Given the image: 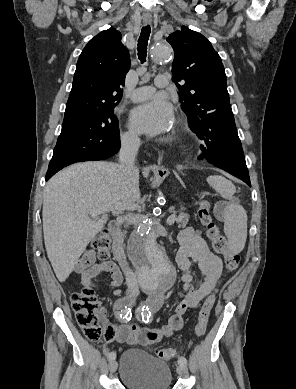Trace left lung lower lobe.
Wrapping results in <instances>:
<instances>
[{
    "mask_svg": "<svg viewBox=\"0 0 296 389\" xmlns=\"http://www.w3.org/2000/svg\"><path fill=\"white\" fill-rule=\"evenodd\" d=\"M198 131L202 141L198 159L229 172L251 187L231 105L206 115Z\"/></svg>",
    "mask_w": 296,
    "mask_h": 389,
    "instance_id": "1",
    "label": "left lung lower lobe"
}]
</instances>
